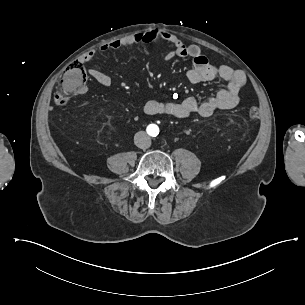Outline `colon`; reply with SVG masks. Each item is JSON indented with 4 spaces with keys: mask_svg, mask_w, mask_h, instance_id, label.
Here are the masks:
<instances>
[{
    "mask_svg": "<svg viewBox=\"0 0 305 305\" xmlns=\"http://www.w3.org/2000/svg\"><path fill=\"white\" fill-rule=\"evenodd\" d=\"M87 84L88 79L80 62L76 60L69 62L66 73L62 75L55 85L57 91L54 95L55 104L58 107L67 106L68 101L72 100L82 89L86 88ZM248 114L251 118L255 119L258 117V110L251 108Z\"/></svg>",
    "mask_w": 305,
    "mask_h": 305,
    "instance_id": "obj_1",
    "label": "colon"
}]
</instances>
